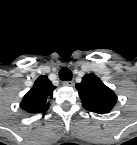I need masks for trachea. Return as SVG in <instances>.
Returning <instances> with one entry per match:
<instances>
[{"label":"trachea","mask_w":137,"mask_h":145,"mask_svg":"<svg viewBox=\"0 0 137 145\" xmlns=\"http://www.w3.org/2000/svg\"><path fill=\"white\" fill-rule=\"evenodd\" d=\"M59 77L62 81H70L72 79V72L69 68L63 67L59 72Z\"/></svg>","instance_id":"obj_1"}]
</instances>
